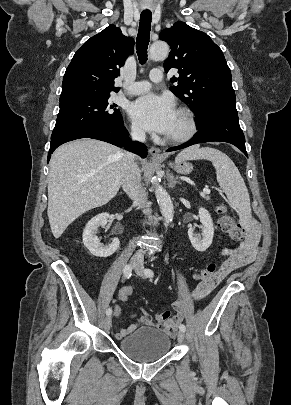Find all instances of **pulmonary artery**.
Here are the masks:
<instances>
[{"mask_svg": "<svg viewBox=\"0 0 291 405\" xmlns=\"http://www.w3.org/2000/svg\"><path fill=\"white\" fill-rule=\"evenodd\" d=\"M150 80L154 83H159L163 80V73L160 69H153L150 72ZM151 88L149 81H137L127 87L125 93L128 95H138L148 91Z\"/></svg>", "mask_w": 291, "mask_h": 405, "instance_id": "1", "label": "pulmonary artery"}]
</instances>
